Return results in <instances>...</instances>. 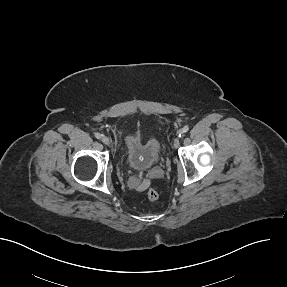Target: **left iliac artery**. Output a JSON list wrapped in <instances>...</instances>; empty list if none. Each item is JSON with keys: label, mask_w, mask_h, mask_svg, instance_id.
<instances>
[{"label": "left iliac artery", "mask_w": 287, "mask_h": 287, "mask_svg": "<svg viewBox=\"0 0 287 287\" xmlns=\"http://www.w3.org/2000/svg\"><path fill=\"white\" fill-rule=\"evenodd\" d=\"M188 130H189V127H188V126H184V127L182 128V133H180L179 136H181V134H183V133L188 132Z\"/></svg>", "instance_id": "obj_1"}]
</instances>
